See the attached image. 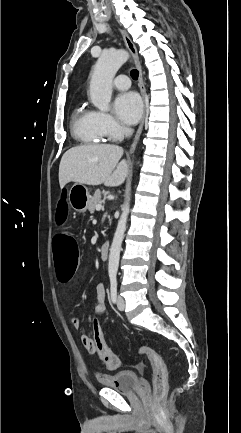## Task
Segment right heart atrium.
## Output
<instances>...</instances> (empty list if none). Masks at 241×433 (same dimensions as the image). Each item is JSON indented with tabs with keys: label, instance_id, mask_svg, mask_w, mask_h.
<instances>
[{
	"label": "right heart atrium",
	"instance_id": "d8ad5b80",
	"mask_svg": "<svg viewBox=\"0 0 241 433\" xmlns=\"http://www.w3.org/2000/svg\"><path fill=\"white\" fill-rule=\"evenodd\" d=\"M97 122L101 131L111 139L118 138L124 132V128L108 113L97 112Z\"/></svg>",
	"mask_w": 241,
	"mask_h": 433
}]
</instances>
